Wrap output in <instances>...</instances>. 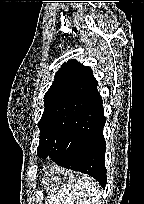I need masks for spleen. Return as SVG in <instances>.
<instances>
[{
  "label": "spleen",
  "instance_id": "obj_1",
  "mask_svg": "<svg viewBox=\"0 0 144 204\" xmlns=\"http://www.w3.org/2000/svg\"><path fill=\"white\" fill-rule=\"evenodd\" d=\"M100 197L97 182L82 175L73 188L50 195L45 204H100Z\"/></svg>",
  "mask_w": 144,
  "mask_h": 204
}]
</instances>
